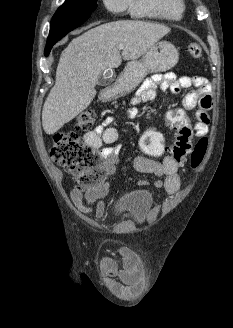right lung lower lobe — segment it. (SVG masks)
<instances>
[{"instance_id": "obj_1", "label": "right lung lower lobe", "mask_w": 233, "mask_h": 328, "mask_svg": "<svg viewBox=\"0 0 233 328\" xmlns=\"http://www.w3.org/2000/svg\"><path fill=\"white\" fill-rule=\"evenodd\" d=\"M86 19H54L50 24V34L45 48V56H48L52 46L64 37L68 32L80 26Z\"/></svg>"}]
</instances>
